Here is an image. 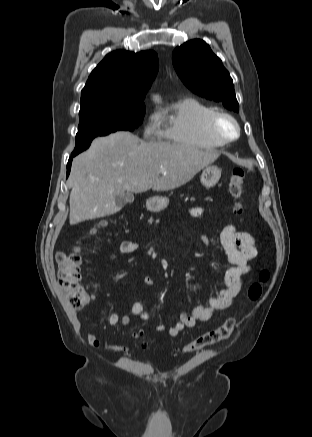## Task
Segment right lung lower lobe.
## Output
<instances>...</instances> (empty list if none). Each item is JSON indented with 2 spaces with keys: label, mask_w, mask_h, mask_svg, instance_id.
<instances>
[{
  "label": "right lung lower lobe",
  "mask_w": 312,
  "mask_h": 437,
  "mask_svg": "<svg viewBox=\"0 0 312 437\" xmlns=\"http://www.w3.org/2000/svg\"><path fill=\"white\" fill-rule=\"evenodd\" d=\"M73 157H74V156H71V157L69 158V161H68V164H67V177H68V175H69V173H70L71 162H72Z\"/></svg>",
  "instance_id": "right-lung-lower-lobe-1"
}]
</instances>
